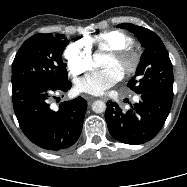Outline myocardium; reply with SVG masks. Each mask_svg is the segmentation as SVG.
<instances>
[{"label":"myocardium","instance_id":"myocardium-1","mask_svg":"<svg viewBox=\"0 0 187 187\" xmlns=\"http://www.w3.org/2000/svg\"><path fill=\"white\" fill-rule=\"evenodd\" d=\"M108 55L116 59L130 58L129 66L122 73L123 76L130 77L136 73L140 65V54L133 47H122L108 51Z\"/></svg>","mask_w":187,"mask_h":187}]
</instances>
